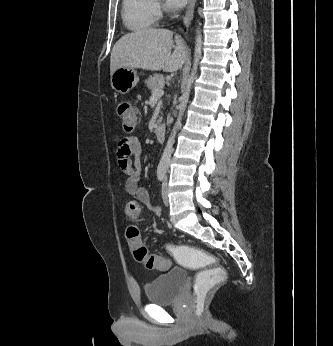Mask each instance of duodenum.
Here are the masks:
<instances>
[{
	"label": "duodenum",
	"instance_id": "410a0bca",
	"mask_svg": "<svg viewBox=\"0 0 333 346\" xmlns=\"http://www.w3.org/2000/svg\"><path fill=\"white\" fill-rule=\"evenodd\" d=\"M166 134V127L163 124L157 125L155 128V136L158 141H164Z\"/></svg>",
	"mask_w": 333,
	"mask_h": 346
}]
</instances>
